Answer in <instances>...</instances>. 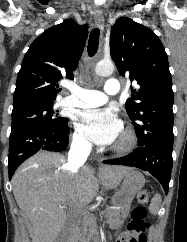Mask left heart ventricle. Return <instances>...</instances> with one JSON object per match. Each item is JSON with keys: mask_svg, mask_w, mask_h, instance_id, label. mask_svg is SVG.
<instances>
[{"mask_svg": "<svg viewBox=\"0 0 187 242\" xmlns=\"http://www.w3.org/2000/svg\"><path fill=\"white\" fill-rule=\"evenodd\" d=\"M124 140L123 130L121 131L120 135L118 136L117 140L115 141V145L122 143Z\"/></svg>", "mask_w": 187, "mask_h": 242, "instance_id": "obj_1", "label": "left heart ventricle"}]
</instances>
